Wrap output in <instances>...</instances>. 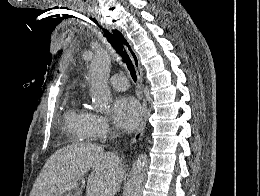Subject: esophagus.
I'll return each mask as SVG.
<instances>
[{"instance_id": "esophagus-1", "label": "esophagus", "mask_w": 260, "mask_h": 196, "mask_svg": "<svg viewBox=\"0 0 260 196\" xmlns=\"http://www.w3.org/2000/svg\"><path fill=\"white\" fill-rule=\"evenodd\" d=\"M117 30L121 33V38L123 39L125 50L129 54V56L134 64V67H135V70L137 73V79L142 84L143 72H142V69L140 66L139 57H138L137 53L135 52L132 43L130 42V40H128V38L126 37L123 30H121L120 28H118ZM142 111H143V118H142L139 128L137 129L134 137L132 138V143H137L141 139L145 126H146L147 104L145 103V101L142 103Z\"/></svg>"}]
</instances>
